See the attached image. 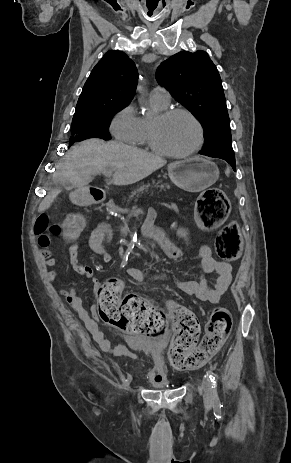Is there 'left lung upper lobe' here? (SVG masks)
Segmentation results:
<instances>
[{"label": "left lung upper lobe", "mask_w": 291, "mask_h": 463, "mask_svg": "<svg viewBox=\"0 0 291 463\" xmlns=\"http://www.w3.org/2000/svg\"><path fill=\"white\" fill-rule=\"evenodd\" d=\"M156 78L202 124L206 140L200 153L235 158L222 81L208 54L178 52L161 63Z\"/></svg>", "instance_id": "1"}]
</instances>
